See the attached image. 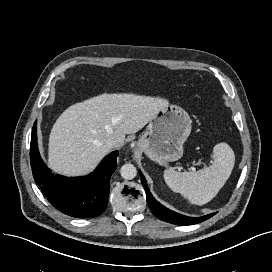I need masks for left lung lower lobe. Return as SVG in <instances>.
<instances>
[{"instance_id": "obj_1", "label": "left lung lower lobe", "mask_w": 272, "mask_h": 272, "mask_svg": "<svg viewBox=\"0 0 272 272\" xmlns=\"http://www.w3.org/2000/svg\"><path fill=\"white\" fill-rule=\"evenodd\" d=\"M139 174L142 181V185L146 192L147 203L152 213L160 220L176 225H192L203 222L215 214L212 213L203 217H188L167 209L166 207H164L163 205L156 201V199L152 196L147 187L145 177L140 171Z\"/></svg>"}]
</instances>
